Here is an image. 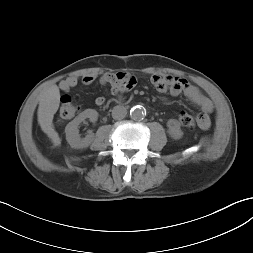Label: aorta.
I'll return each instance as SVG.
<instances>
[{
  "label": "aorta",
  "mask_w": 253,
  "mask_h": 253,
  "mask_svg": "<svg viewBox=\"0 0 253 253\" xmlns=\"http://www.w3.org/2000/svg\"><path fill=\"white\" fill-rule=\"evenodd\" d=\"M130 115L134 120H141L145 117L146 111L142 106L136 105L131 108Z\"/></svg>",
  "instance_id": "762f6f07"
}]
</instances>
